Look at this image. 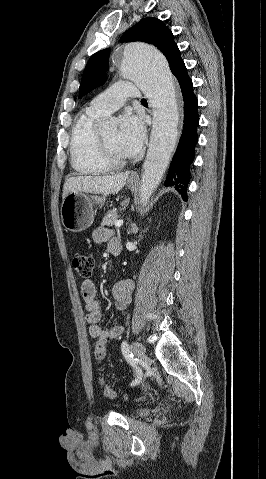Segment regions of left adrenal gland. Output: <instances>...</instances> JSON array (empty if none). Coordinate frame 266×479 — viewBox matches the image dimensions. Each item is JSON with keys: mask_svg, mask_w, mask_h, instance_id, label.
Returning a JSON list of instances; mask_svg holds the SVG:
<instances>
[{"mask_svg": "<svg viewBox=\"0 0 266 479\" xmlns=\"http://www.w3.org/2000/svg\"><path fill=\"white\" fill-rule=\"evenodd\" d=\"M136 232V227L134 224H131V229L129 231V233H135Z\"/></svg>", "mask_w": 266, "mask_h": 479, "instance_id": "obj_1", "label": "left adrenal gland"}]
</instances>
